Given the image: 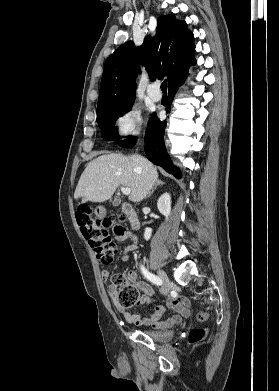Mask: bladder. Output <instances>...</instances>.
Wrapping results in <instances>:
<instances>
[{
  "mask_svg": "<svg viewBox=\"0 0 279 391\" xmlns=\"http://www.w3.org/2000/svg\"><path fill=\"white\" fill-rule=\"evenodd\" d=\"M144 334L148 338L157 342H167L173 337L172 331H162V330H154V329L146 330L144 331Z\"/></svg>",
  "mask_w": 279,
  "mask_h": 391,
  "instance_id": "bladder-1",
  "label": "bladder"
}]
</instances>
